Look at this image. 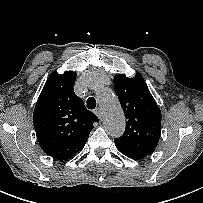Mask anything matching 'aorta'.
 <instances>
[{
    "label": "aorta",
    "instance_id": "762f6f07",
    "mask_svg": "<svg viewBox=\"0 0 203 203\" xmlns=\"http://www.w3.org/2000/svg\"><path fill=\"white\" fill-rule=\"evenodd\" d=\"M90 87L96 91L107 133L112 137H120L125 130V116L117 97L111 89L101 87L96 80L90 82Z\"/></svg>",
    "mask_w": 203,
    "mask_h": 203
}]
</instances>
